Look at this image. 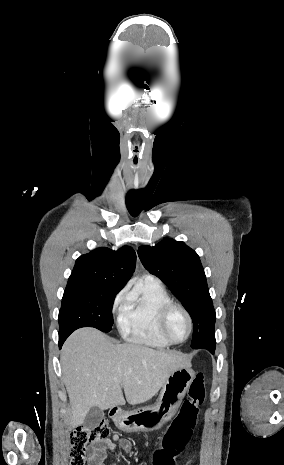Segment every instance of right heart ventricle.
Here are the masks:
<instances>
[{
	"mask_svg": "<svg viewBox=\"0 0 284 465\" xmlns=\"http://www.w3.org/2000/svg\"><path fill=\"white\" fill-rule=\"evenodd\" d=\"M173 299L160 280L146 279L119 310L117 328L132 346H170L158 331L159 316Z\"/></svg>",
	"mask_w": 284,
	"mask_h": 465,
	"instance_id": "1",
	"label": "right heart ventricle"
}]
</instances>
